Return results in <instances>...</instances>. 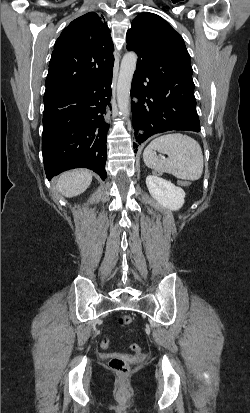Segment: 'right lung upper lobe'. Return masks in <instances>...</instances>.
Returning a JSON list of instances; mask_svg holds the SVG:
<instances>
[{"label":"right lung upper lobe","mask_w":250,"mask_h":413,"mask_svg":"<svg viewBox=\"0 0 250 413\" xmlns=\"http://www.w3.org/2000/svg\"><path fill=\"white\" fill-rule=\"evenodd\" d=\"M113 42L107 22L94 12L72 21L54 45L45 94L85 86L112 71Z\"/></svg>","instance_id":"obj_1"}]
</instances>
